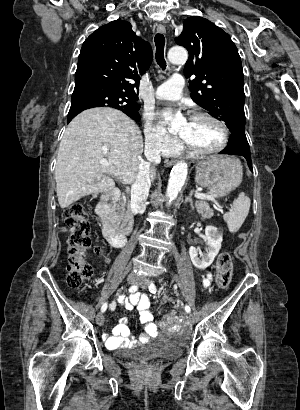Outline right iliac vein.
<instances>
[{
  "label": "right iliac vein",
  "instance_id": "1",
  "mask_svg": "<svg viewBox=\"0 0 300 410\" xmlns=\"http://www.w3.org/2000/svg\"><path fill=\"white\" fill-rule=\"evenodd\" d=\"M138 280H139L138 276H137L136 274H134V273H130V274L127 276V282H128L129 284H135V283L138 282ZM96 323H97L99 326H102V325L104 324V316H103V314L100 313V312L96 315Z\"/></svg>",
  "mask_w": 300,
  "mask_h": 410
}]
</instances>
